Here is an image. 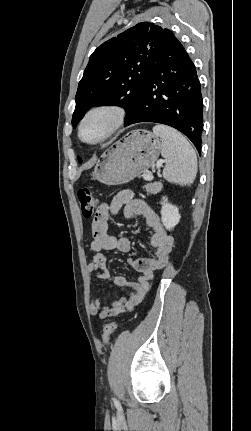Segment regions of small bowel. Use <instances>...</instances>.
<instances>
[{
	"instance_id": "obj_1",
	"label": "small bowel",
	"mask_w": 251,
	"mask_h": 431,
	"mask_svg": "<svg viewBox=\"0 0 251 431\" xmlns=\"http://www.w3.org/2000/svg\"><path fill=\"white\" fill-rule=\"evenodd\" d=\"M120 211H123L126 218L136 216L144 218L146 224L153 230L150 237V245L154 248L153 256L130 261L134 269L140 273L134 282H129L124 276L112 277L106 267L103 254L104 250H119L124 253L130 251L128 238L108 232L109 218ZM91 230L93 240L90 246L93 254L87 266L89 277L95 274L99 279L113 281L118 287L130 288L128 294L114 300L110 305H103L100 298L92 297L90 304L92 315L107 319L122 312L131 311L142 300L155 272L168 264L174 238L163 227L159 215L145 201L135 198L129 190L120 191L109 204L103 203L98 207Z\"/></svg>"
}]
</instances>
